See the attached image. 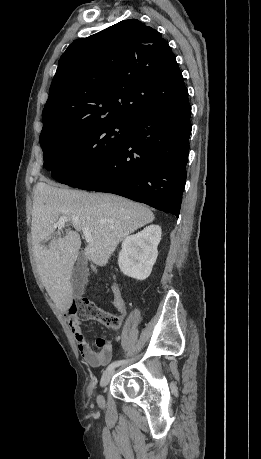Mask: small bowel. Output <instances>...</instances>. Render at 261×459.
Masks as SVG:
<instances>
[{"label":"small bowel","instance_id":"1","mask_svg":"<svg viewBox=\"0 0 261 459\" xmlns=\"http://www.w3.org/2000/svg\"><path fill=\"white\" fill-rule=\"evenodd\" d=\"M111 290L116 309L122 315H125L127 312L126 304L115 282L112 283ZM69 326L75 337L81 356L90 366L100 367L110 362L113 354V348L110 341L105 338H98L96 340L97 350H95L88 343L78 319L71 317L69 320Z\"/></svg>","mask_w":261,"mask_h":459}]
</instances>
